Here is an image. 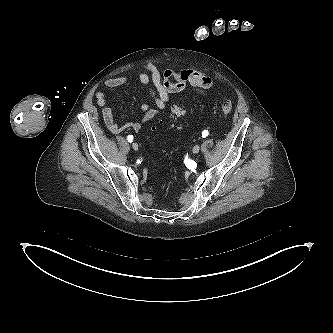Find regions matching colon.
Returning <instances> with one entry per match:
<instances>
[{"label":"colon","instance_id":"5ec220e1","mask_svg":"<svg viewBox=\"0 0 333 333\" xmlns=\"http://www.w3.org/2000/svg\"><path fill=\"white\" fill-rule=\"evenodd\" d=\"M220 109H221V112H222L224 115H228V114H230L231 111H232V109H233L232 102L229 101V100H227V99H224V100L221 102ZM171 112H172L173 118H174V119H178L179 117H181V116L184 114V109H183L182 106L174 105V106L171 108Z\"/></svg>","mask_w":333,"mask_h":333}]
</instances>
